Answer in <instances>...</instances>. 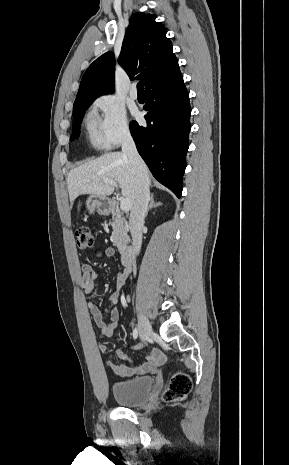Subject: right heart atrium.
<instances>
[{"label":"right heart atrium","mask_w":289,"mask_h":465,"mask_svg":"<svg viewBox=\"0 0 289 465\" xmlns=\"http://www.w3.org/2000/svg\"><path fill=\"white\" fill-rule=\"evenodd\" d=\"M95 106L102 113L101 128L109 146H117L130 136L126 110L114 96L99 97Z\"/></svg>","instance_id":"1"}]
</instances>
